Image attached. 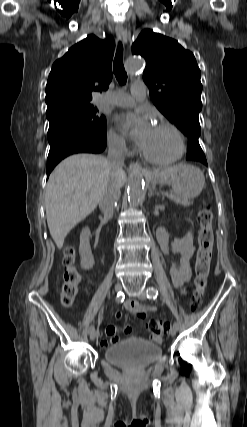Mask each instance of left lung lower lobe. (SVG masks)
Segmentation results:
<instances>
[{
    "label": "left lung lower lobe",
    "mask_w": 247,
    "mask_h": 427,
    "mask_svg": "<svg viewBox=\"0 0 247 427\" xmlns=\"http://www.w3.org/2000/svg\"><path fill=\"white\" fill-rule=\"evenodd\" d=\"M188 139H189V143H188L186 159L192 160V161H198L207 165L206 157L199 145V141L192 138H188Z\"/></svg>",
    "instance_id": "0a47b994"
}]
</instances>
